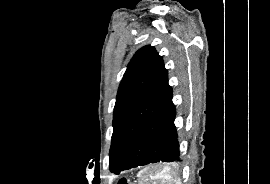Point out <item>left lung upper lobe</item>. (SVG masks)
<instances>
[{
  "mask_svg": "<svg viewBox=\"0 0 270 184\" xmlns=\"http://www.w3.org/2000/svg\"><path fill=\"white\" fill-rule=\"evenodd\" d=\"M170 89L162 57L150 45L139 49L127 66L116 97L109 153L111 172L121 167Z\"/></svg>",
  "mask_w": 270,
  "mask_h": 184,
  "instance_id": "1",
  "label": "left lung upper lobe"
}]
</instances>
